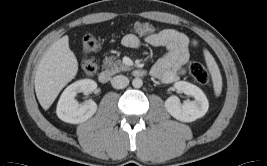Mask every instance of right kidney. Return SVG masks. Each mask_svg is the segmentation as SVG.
<instances>
[{
	"instance_id": "obj_1",
	"label": "right kidney",
	"mask_w": 267,
	"mask_h": 166,
	"mask_svg": "<svg viewBox=\"0 0 267 166\" xmlns=\"http://www.w3.org/2000/svg\"><path fill=\"white\" fill-rule=\"evenodd\" d=\"M97 88V83L91 79L78 80L69 85L62 93L56 113L64 122L78 124L89 119L97 110V104L93 100L79 103L75 97L78 93H92Z\"/></svg>"
}]
</instances>
